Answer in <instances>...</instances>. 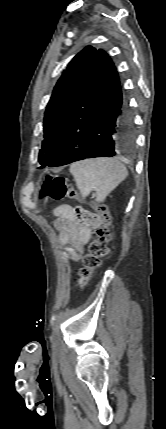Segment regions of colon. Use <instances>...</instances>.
Masks as SVG:
<instances>
[{
  "label": "colon",
  "instance_id": "colon-1",
  "mask_svg": "<svg viewBox=\"0 0 166 429\" xmlns=\"http://www.w3.org/2000/svg\"><path fill=\"white\" fill-rule=\"evenodd\" d=\"M76 192L69 186L62 176H49L42 190V197H50L55 201L63 200L66 197H74ZM100 225L94 231V239L89 246L88 253L82 259V265L78 270L76 285L86 286L91 280L95 270L100 266L102 258L107 253V244L110 241L109 227L111 216L108 208L104 204L96 205Z\"/></svg>",
  "mask_w": 166,
  "mask_h": 429
}]
</instances>
